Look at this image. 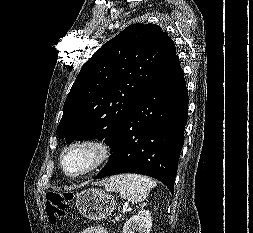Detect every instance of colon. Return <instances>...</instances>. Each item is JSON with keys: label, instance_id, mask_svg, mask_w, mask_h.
<instances>
[{"label": "colon", "instance_id": "1", "mask_svg": "<svg viewBox=\"0 0 253 233\" xmlns=\"http://www.w3.org/2000/svg\"><path fill=\"white\" fill-rule=\"evenodd\" d=\"M71 193H61L50 191L46 196V212L51 222H55L62 217L72 201Z\"/></svg>", "mask_w": 253, "mask_h": 233}]
</instances>
